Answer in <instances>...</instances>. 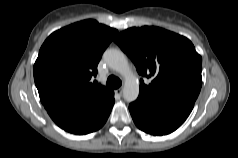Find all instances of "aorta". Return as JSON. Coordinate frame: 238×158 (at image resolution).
Instances as JSON below:
<instances>
[{
  "instance_id": "obj_1",
  "label": "aorta",
  "mask_w": 238,
  "mask_h": 158,
  "mask_svg": "<svg viewBox=\"0 0 238 158\" xmlns=\"http://www.w3.org/2000/svg\"><path fill=\"white\" fill-rule=\"evenodd\" d=\"M107 65L124 77L123 97L127 102H133L139 95V82L132 73L125 54L119 49H107L104 52Z\"/></svg>"
}]
</instances>
